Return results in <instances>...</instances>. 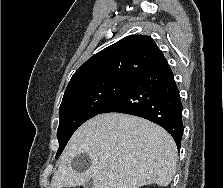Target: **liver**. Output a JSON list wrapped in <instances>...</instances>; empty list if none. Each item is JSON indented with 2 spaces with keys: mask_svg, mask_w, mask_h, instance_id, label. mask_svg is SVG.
Here are the masks:
<instances>
[{
  "mask_svg": "<svg viewBox=\"0 0 224 188\" xmlns=\"http://www.w3.org/2000/svg\"><path fill=\"white\" fill-rule=\"evenodd\" d=\"M81 153L90 157L91 165L80 171L72 160ZM177 157L175 141L155 123L122 113L100 114L73 134L51 187H77L89 179L93 188L166 187L175 175Z\"/></svg>",
  "mask_w": 224,
  "mask_h": 188,
  "instance_id": "1",
  "label": "liver"
}]
</instances>
